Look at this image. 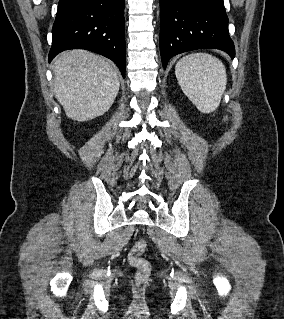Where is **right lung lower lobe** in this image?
Segmentation results:
<instances>
[{"label": "right lung lower lobe", "instance_id": "right-lung-lower-lobe-1", "mask_svg": "<svg viewBox=\"0 0 284 319\" xmlns=\"http://www.w3.org/2000/svg\"><path fill=\"white\" fill-rule=\"evenodd\" d=\"M49 62L67 49L111 59L125 77L124 0H59Z\"/></svg>", "mask_w": 284, "mask_h": 319}]
</instances>
